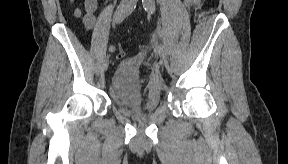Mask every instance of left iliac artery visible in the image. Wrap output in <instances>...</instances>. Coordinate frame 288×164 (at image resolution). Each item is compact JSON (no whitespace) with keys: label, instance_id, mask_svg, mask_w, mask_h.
<instances>
[{"label":"left iliac artery","instance_id":"44dca946","mask_svg":"<svg viewBox=\"0 0 288 164\" xmlns=\"http://www.w3.org/2000/svg\"><path fill=\"white\" fill-rule=\"evenodd\" d=\"M142 5H143V8L151 13V14H154L155 13V2L154 0H142ZM157 35H158V39H159V36H160V31L158 30L157 31ZM159 49H160V52L163 53L164 50H165V46L160 43L159 44Z\"/></svg>","mask_w":288,"mask_h":164}]
</instances>
